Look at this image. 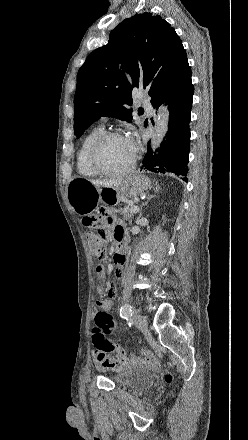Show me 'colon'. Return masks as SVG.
<instances>
[{"mask_svg": "<svg viewBox=\"0 0 248 440\" xmlns=\"http://www.w3.org/2000/svg\"><path fill=\"white\" fill-rule=\"evenodd\" d=\"M103 218L104 213L99 211L83 219L84 224L91 227L90 244L98 259L105 258L107 249L106 233L102 226ZM95 324L93 341L97 359L112 369L125 365L127 363L125 351L109 338V335L119 331L111 315L103 310H98L95 315ZM165 379L171 381V375L166 374Z\"/></svg>", "mask_w": 248, "mask_h": 440, "instance_id": "colon-1", "label": "colon"}]
</instances>
